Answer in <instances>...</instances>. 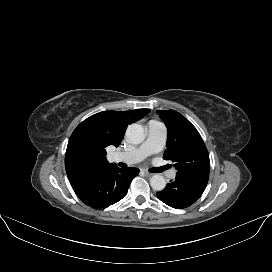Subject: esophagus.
Here are the masks:
<instances>
[{"label":"esophagus","mask_w":272,"mask_h":272,"mask_svg":"<svg viewBox=\"0 0 272 272\" xmlns=\"http://www.w3.org/2000/svg\"><path fill=\"white\" fill-rule=\"evenodd\" d=\"M144 174H145L147 177L153 176V173H150V172H148V171H144Z\"/></svg>","instance_id":"esophagus-1"}]
</instances>
